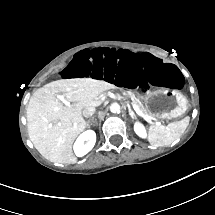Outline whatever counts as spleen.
Listing matches in <instances>:
<instances>
[{
	"label": "spleen",
	"mask_w": 215,
	"mask_h": 215,
	"mask_svg": "<svg viewBox=\"0 0 215 215\" xmlns=\"http://www.w3.org/2000/svg\"><path fill=\"white\" fill-rule=\"evenodd\" d=\"M189 121L186 116L183 120L175 121L168 126H152L149 131V141L154 146H166L171 144L181 135L184 128V122Z\"/></svg>",
	"instance_id": "spleen-1"
}]
</instances>
